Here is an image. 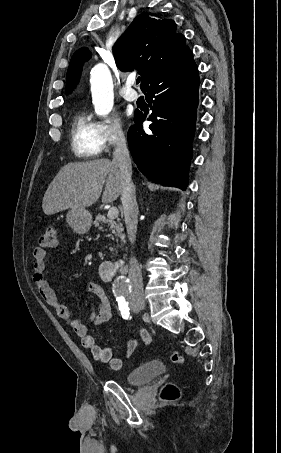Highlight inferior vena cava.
I'll use <instances>...</instances> for the list:
<instances>
[{
	"label": "inferior vena cava",
	"instance_id": "inferior-vena-cava-1",
	"mask_svg": "<svg viewBox=\"0 0 281 453\" xmlns=\"http://www.w3.org/2000/svg\"><path fill=\"white\" fill-rule=\"evenodd\" d=\"M115 150L113 152V162H117L121 174V200L124 208L125 224L130 243L136 241L137 214L138 206L136 202L135 186L132 182V164L126 146V138L122 130H118L114 140ZM129 279L132 287L131 301H144L143 279L141 269L136 257H131L129 261Z\"/></svg>",
	"mask_w": 281,
	"mask_h": 453
}]
</instances>
